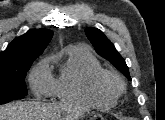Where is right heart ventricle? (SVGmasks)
<instances>
[{
	"label": "right heart ventricle",
	"instance_id": "1",
	"mask_svg": "<svg viewBox=\"0 0 165 120\" xmlns=\"http://www.w3.org/2000/svg\"><path fill=\"white\" fill-rule=\"evenodd\" d=\"M59 74L52 81L51 93L61 102L111 108L115 97L97 94L92 88V78L102 66L99 60L87 49L68 48L58 59Z\"/></svg>",
	"mask_w": 165,
	"mask_h": 120
}]
</instances>
